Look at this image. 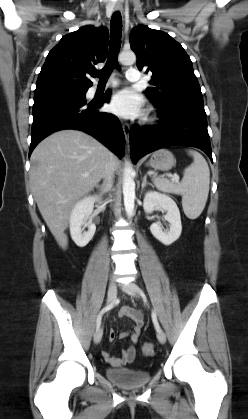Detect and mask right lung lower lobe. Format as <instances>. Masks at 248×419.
<instances>
[{
  "instance_id": "1",
  "label": "right lung lower lobe",
  "mask_w": 248,
  "mask_h": 419,
  "mask_svg": "<svg viewBox=\"0 0 248 419\" xmlns=\"http://www.w3.org/2000/svg\"><path fill=\"white\" fill-rule=\"evenodd\" d=\"M109 99L110 91L90 102L85 98L64 95L34 98L29 155L49 134L62 129H77L92 135L122 158L125 138L119 119L97 111Z\"/></svg>"
}]
</instances>
